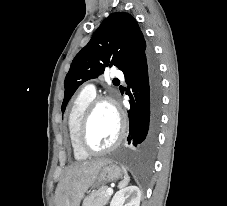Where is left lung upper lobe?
<instances>
[{"mask_svg": "<svg viewBox=\"0 0 227 206\" xmlns=\"http://www.w3.org/2000/svg\"><path fill=\"white\" fill-rule=\"evenodd\" d=\"M137 21L128 13L115 12L106 18L89 43L75 56L66 75L62 112L77 88L97 78L106 67L126 73L148 51Z\"/></svg>", "mask_w": 227, "mask_h": 206, "instance_id": "5c2ea615", "label": "left lung upper lobe"}]
</instances>
